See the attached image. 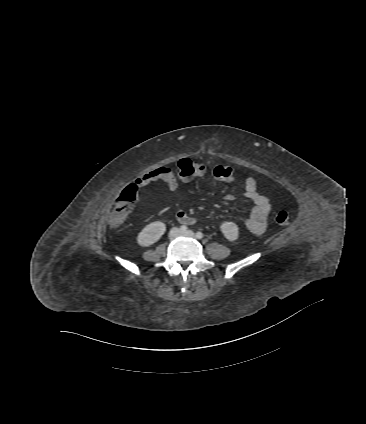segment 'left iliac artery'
Segmentation results:
<instances>
[{"instance_id":"44dca946","label":"left iliac artery","mask_w":366,"mask_h":424,"mask_svg":"<svg viewBox=\"0 0 366 424\" xmlns=\"http://www.w3.org/2000/svg\"><path fill=\"white\" fill-rule=\"evenodd\" d=\"M196 237L198 239H202L203 238V233L202 232H196Z\"/></svg>"}]
</instances>
